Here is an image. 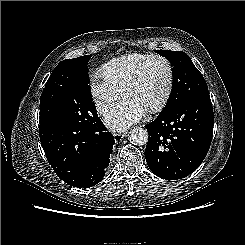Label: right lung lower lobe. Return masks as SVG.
<instances>
[{"label":"right lung lower lobe","instance_id":"right-lung-lower-lobe-1","mask_svg":"<svg viewBox=\"0 0 245 245\" xmlns=\"http://www.w3.org/2000/svg\"><path fill=\"white\" fill-rule=\"evenodd\" d=\"M39 133L47 160L63 181L89 188L103 179L115 140L99 117L89 127L41 122Z\"/></svg>","mask_w":245,"mask_h":245}]
</instances>
